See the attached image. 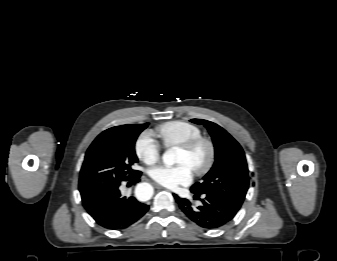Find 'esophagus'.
Wrapping results in <instances>:
<instances>
[{"instance_id":"obj_1","label":"esophagus","mask_w":337,"mask_h":261,"mask_svg":"<svg viewBox=\"0 0 337 261\" xmlns=\"http://www.w3.org/2000/svg\"><path fill=\"white\" fill-rule=\"evenodd\" d=\"M154 186H155V188H157V189H160V190L163 189V187H162L161 185L157 184V183H155Z\"/></svg>"}]
</instances>
